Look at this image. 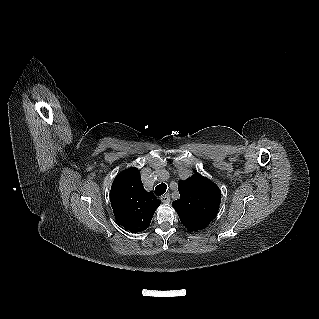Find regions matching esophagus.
Listing matches in <instances>:
<instances>
[{
  "label": "esophagus",
  "mask_w": 319,
  "mask_h": 319,
  "mask_svg": "<svg viewBox=\"0 0 319 319\" xmlns=\"http://www.w3.org/2000/svg\"><path fill=\"white\" fill-rule=\"evenodd\" d=\"M161 201L163 203H169L170 202V195L168 193L164 194L163 196H161Z\"/></svg>",
  "instance_id": "esophagus-1"
}]
</instances>
